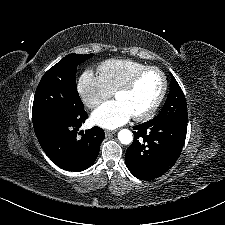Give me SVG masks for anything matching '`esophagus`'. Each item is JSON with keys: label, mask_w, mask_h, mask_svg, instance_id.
Masks as SVG:
<instances>
[{"label": "esophagus", "mask_w": 225, "mask_h": 225, "mask_svg": "<svg viewBox=\"0 0 225 225\" xmlns=\"http://www.w3.org/2000/svg\"><path fill=\"white\" fill-rule=\"evenodd\" d=\"M116 133V130H106L105 131V135L106 136H111V135H113V134H115Z\"/></svg>", "instance_id": "1"}]
</instances>
